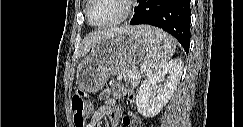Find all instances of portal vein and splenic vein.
Wrapping results in <instances>:
<instances>
[{
	"label": "portal vein and splenic vein",
	"instance_id": "obj_1",
	"mask_svg": "<svg viewBox=\"0 0 243 127\" xmlns=\"http://www.w3.org/2000/svg\"><path fill=\"white\" fill-rule=\"evenodd\" d=\"M133 74L139 76L138 71L136 69L133 70Z\"/></svg>",
	"mask_w": 243,
	"mask_h": 127
}]
</instances>
